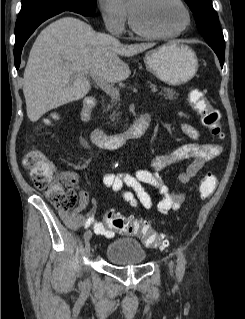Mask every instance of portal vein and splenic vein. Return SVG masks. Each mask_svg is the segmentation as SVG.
Masks as SVG:
<instances>
[{
	"instance_id": "1",
	"label": "portal vein and splenic vein",
	"mask_w": 245,
	"mask_h": 319,
	"mask_svg": "<svg viewBox=\"0 0 245 319\" xmlns=\"http://www.w3.org/2000/svg\"><path fill=\"white\" fill-rule=\"evenodd\" d=\"M97 85L103 90L105 91L108 95H110L112 98L118 99L120 97V91L119 89L113 87L112 85H110L106 80H104L101 77H96L95 78ZM158 92V88L157 87H153L151 89V93L152 94H156Z\"/></svg>"
}]
</instances>
